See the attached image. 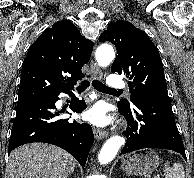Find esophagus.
Segmentation results:
<instances>
[{"mask_svg": "<svg viewBox=\"0 0 194 178\" xmlns=\"http://www.w3.org/2000/svg\"><path fill=\"white\" fill-rule=\"evenodd\" d=\"M90 73L93 78H101L102 72L94 60H91L90 63ZM93 133L96 139H103L108 136V132L106 130H102L99 128H94Z\"/></svg>", "mask_w": 194, "mask_h": 178, "instance_id": "esophagus-1", "label": "esophagus"}]
</instances>
